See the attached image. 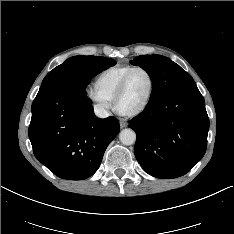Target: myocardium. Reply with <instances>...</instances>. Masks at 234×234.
<instances>
[{
	"label": "myocardium",
	"mask_w": 234,
	"mask_h": 234,
	"mask_svg": "<svg viewBox=\"0 0 234 234\" xmlns=\"http://www.w3.org/2000/svg\"><path fill=\"white\" fill-rule=\"evenodd\" d=\"M136 71H144V72L148 75L149 83H150V84H149V90H148L147 96H146L144 102H143L138 108H136L135 110L128 111V112L121 111V110L118 108V101H119V99L121 98V96L124 94V92L126 91L127 86H128V83H129V80H130L131 76H132ZM154 87H155V80H154V76H153V74L151 73V71L148 70L147 68L141 67V66H136V67H134L133 69H131V70L124 76L123 80L121 81L120 85L118 86V88H117V90H116V92H115V94H114L113 103H114V107H115L116 111H117L118 113H120L121 115L129 116V117L139 115V114L142 113V112L147 108V106L149 105V103H150V101H151V98H152V96H153Z\"/></svg>",
	"instance_id": "1"
}]
</instances>
